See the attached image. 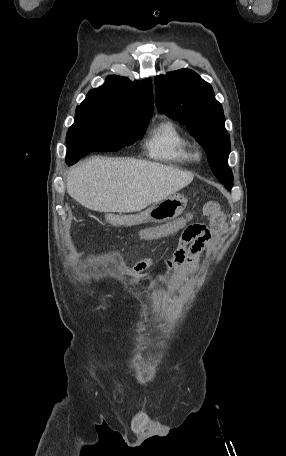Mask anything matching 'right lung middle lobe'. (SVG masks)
<instances>
[{"mask_svg":"<svg viewBox=\"0 0 286 456\" xmlns=\"http://www.w3.org/2000/svg\"><path fill=\"white\" fill-rule=\"evenodd\" d=\"M151 117L78 106L69 128L66 163L72 165L94 151H118L140 140Z\"/></svg>","mask_w":286,"mask_h":456,"instance_id":"1","label":"right lung middle lobe"}]
</instances>
